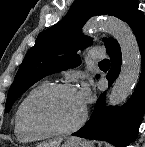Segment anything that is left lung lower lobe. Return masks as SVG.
I'll list each match as a JSON object with an SVG mask.
<instances>
[{
    "label": "left lung lower lobe",
    "instance_id": "1",
    "mask_svg": "<svg viewBox=\"0 0 145 147\" xmlns=\"http://www.w3.org/2000/svg\"><path fill=\"white\" fill-rule=\"evenodd\" d=\"M138 8V2L131 0L123 16V21L134 32L141 52L142 71L135 91L121 107L104 106L106 92H103L90 120L74 136L104 140L116 147H126L136 138L145 112V16ZM107 53L111 59V69L106 76L110 86L121 70L122 56L116 40L108 45Z\"/></svg>",
    "mask_w": 145,
    "mask_h": 147
}]
</instances>
